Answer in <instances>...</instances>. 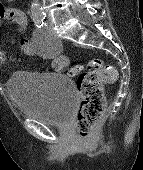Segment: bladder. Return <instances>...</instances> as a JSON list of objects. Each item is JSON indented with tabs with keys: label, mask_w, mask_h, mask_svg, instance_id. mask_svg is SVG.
<instances>
[{
	"label": "bladder",
	"mask_w": 143,
	"mask_h": 170,
	"mask_svg": "<svg viewBox=\"0 0 143 170\" xmlns=\"http://www.w3.org/2000/svg\"><path fill=\"white\" fill-rule=\"evenodd\" d=\"M6 89L22 115L49 125L67 123L78 98L69 77L51 72H15L8 78Z\"/></svg>",
	"instance_id": "1"
}]
</instances>
